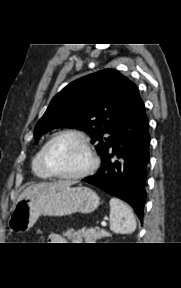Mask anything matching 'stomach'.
<instances>
[{
	"label": "stomach",
	"instance_id": "obj_1",
	"mask_svg": "<svg viewBox=\"0 0 181 288\" xmlns=\"http://www.w3.org/2000/svg\"><path fill=\"white\" fill-rule=\"evenodd\" d=\"M98 205L99 197L88 187H54L18 200L8 226L12 231L21 233L31 229L41 215L61 217L76 212L87 214L95 211Z\"/></svg>",
	"mask_w": 181,
	"mask_h": 288
}]
</instances>
